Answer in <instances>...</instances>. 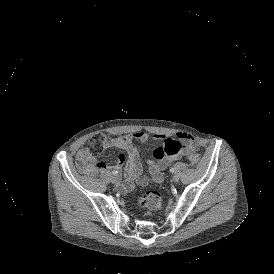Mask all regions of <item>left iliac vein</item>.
<instances>
[{"instance_id":"4c4485c4","label":"left iliac vein","mask_w":274,"mask_h":274,"mask_svg":"<svg viewBox=\"0 0 274 274\" xmlns=\"http://www.w3.org/2000/svg\"><path fill=\"white\" fill-rule=\"evenodd\" d=\"M179 179H180L179 175H174L173 178H172L174 183H177L179 181Z\"/></svg>"}]
</instances>
